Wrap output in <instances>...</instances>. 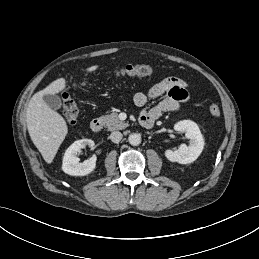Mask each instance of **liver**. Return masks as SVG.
<instances>
[{"label":"liver","instance_id":"obj_1","mask_svg":"<svg viewBox=\"0 0 259 259\" xmlns=\"http://www.w3.org/2000/svg\"><path fill=\"white\" fill-rule=\"evenodd\" d=\"M97 69L98 65H94L87 68L86 71L93 72ZM65 87L64 78L53 81L45 89L32 96L26 111L27 128L31 140L48 164L53 161L64 141L68 127L64 118L44 102L43 96L59 93Z\"/></svg>","mask_w":259,"mask_h":259}]
</instances>
